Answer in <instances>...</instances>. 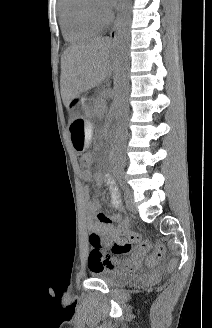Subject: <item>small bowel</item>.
I'll use <instances>...</instances> for the list:
<instances>
[{
	"mask_svg": "<svg viewBox=\"0 0 212 328\" xmlns=\"http://www.w3.org/2000/svg\"><path fill=\"white\" fill-rule=\"evenodd\" d=\"M83 179L86 181H92L97 186L106 185L111 206L115 209H121L122 203L120 199L119 190L115 181L110 174H102L99 172L92 173L91 170H82L81 173ZM85 205L88 213V229L99 236H101L106 245L111 244L114 241L121 240L124 236L129 234L128 222L124 221L121 214L115 213L108 215L101 210V203L98 199H92L89 197L88 191L85 195ZM145 251L135 253L130 260H120L115 258L113 260L114 266L122 271L136 270L143 259ZM91 271L102 270L95 265H89Z\"/></svg>",
	"mask_w": 212,
	"mask_h": 328,
	"instance_id": "c3829d8e",
	"label": "small bowel"
}]
</instances>
